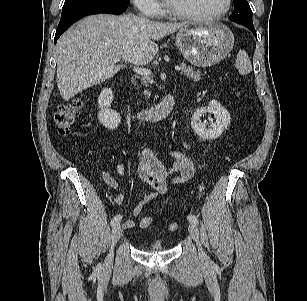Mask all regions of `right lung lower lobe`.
I'll return each mask as SVG.
<instances>
[{"label": "right lung lower lobe", "instance_id": "obj_1", "mask_svg": "<svg viewBox=\"0 0 307 301\" xmlns=\"http://www.w3.org/2000/svg\"><path fill=\"white\" fill-rule=\"evenodd\" d=\"M127 9L126 4L115 2H97L62 12L60 23L56 29L54 43L68 27L80 18L99 13L121 14Z\"/></svg>", "mask_w": 307, "mask_h": 301}]
</instances>
